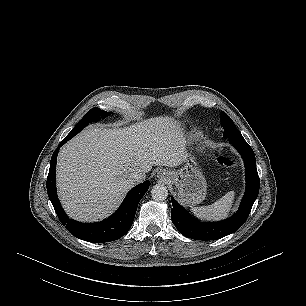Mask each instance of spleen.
<instances>
[{
    "mask_svg": "<svg viewBox=\"0 0 306 306\" xmlns=\"http://www.w3.org/2000/svg\"><path fill=\"white\" fill-rule=\"evenodd\" d=\"M234 196L235 192L230 191L211 205L193 207L191 210L201 220L216 221L224 219L231 210Z\"/></svg>",
    "mask_w": 306,
    "mask_h": 306,
    "instance_id": "obj_1",
    "label": "spleen"
}]
</instances>
